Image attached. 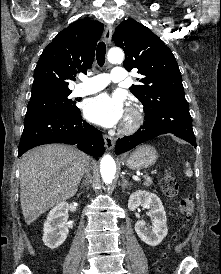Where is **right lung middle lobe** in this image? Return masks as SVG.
<instances>
[{
    "label": "right lung middle lobe",
    "instance_id": "obj_1",
    "mask_svg": "<svg viewBox=\"0 0 221 274\" xmlns=\"http://www.w3.org/2000/svg\"><path fill=\"white\" fill-rule=\"evenodd\" d=\"M70 93L41 97L30 100L27 107L26 118L55 111L77 113L80 110L75 105V101L68 98Z\"/></svg>",
    "mask_w": 221,
    "mask_h": 274
}]
</instances>
